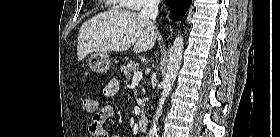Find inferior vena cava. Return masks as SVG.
<instances>
[{"instance_id":"1","label":"inferior vena cava","mask_w":280,"mask_h":137,"mask_svg":"<svg viewBox=\"0 0 280 137\" xmlns=\"http://www.w3.org/2000/svg\"><path fill=\"white\" fill-rule=\"evenodd\" d=\"M158 4L159 0H146L141 10L140 15L144 18L150 19L151 24L155 21L158 16Z\"/></svg>"}]
</instances>
